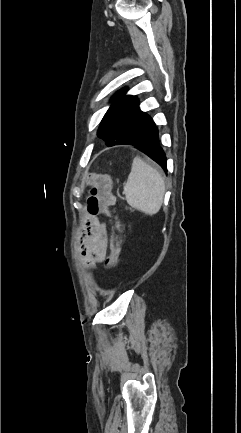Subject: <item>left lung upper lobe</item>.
<instances>
[{
	"label": "left lung upper lobe",
	"instance_id": "left-lung-upper-lobe-1",
	"mask_svg": "<svg viewBox=\"0 0 241 433\" xmlns=\"http://www.w3.org/2000/svg\"><path fill=\"white\" fill-rule=\"evenodd\" d=\"M119 98L117 101L115 99ZM113 104L105 114L98 136L108 146L126 144L145 134L154 125L153 120L139 109L135 96H125V90L112 97Z\"/></svg>",
	"mask_w": 241,
	"mask_h": 433
}]
</instances>
